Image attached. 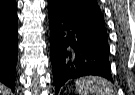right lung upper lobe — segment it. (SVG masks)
Listing matches in <instances>:
<instances>
[{
  "label": "right lung upper lobe",
  "instance_id": "right-lung-upper-lobe-1",
  "mask_svg": "<svg viewBox=\"0 0 135 95\" xmlns=\"http://www.w3.org/2000/svg\"><path fill=\"white\" fill-rule=\"evenodd\" d=\"M17 14V6L14 0H0V18L12 17Z\"/></svg>",
  "mask_w": 135,
  "mask_h": 95
}]
</instances>
